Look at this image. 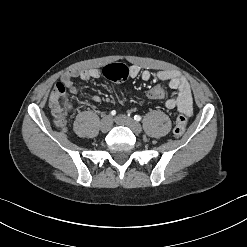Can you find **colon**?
Here are the masks:
<instances>
[{
  "instance_id": "colon-1",
  "label": "colon",
  "mask_w": 247,
  "mask_h": 247,
  "mask_svg": "<svg viewBox=\"0 0 247 247\" xmlns=\"http://www.w3.org/2000/svg\"><path fill=\"white\" fill-rule=\"evenodd\" d=\"M105 78L121 82L125 81L129 75V68L121 63H114L104 67L102 71ZM146 96L150 99H161L164 97V90L160 85L150 89ZM49 104L56 122L62 126L65 122L67 109L69 108V100L66 94L65 87L61 83H57L50 95ZM187 119L186 116L181 114L176 118L173 134L175 137H181L186 130Z\"/></svg>"
}]
</instances>
